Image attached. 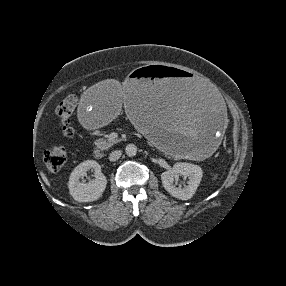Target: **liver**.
I'll return each instance as SVG.
<instances>
[{
	"label": "liver",
	"instance_id": "liver-1",
	"mask_svg": "<svg viewBox=\"0 0 286 286\" xmlns=\"http://www.w3.org/2000/svg\"><path fill=\"white\" fill-rule=\"evenodd\" d=\"M117 87L119 90H121V86L117 85ZM124 91H126V84L124 85ZM124 97H125V94H124ZM41 176H42L43 181L46 183V185L50 186L49 180L47 179L43 171H41Z\"/></svg>",
	"mask_w": 286,
	"mask_h": 286
}]
</instances>
